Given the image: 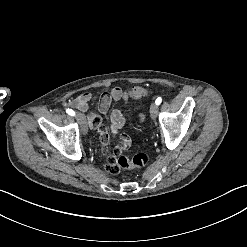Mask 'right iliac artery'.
I'll use <instances>...</instances> for the list:
<instances>
[{"instance_id":"obj_1","label":"right iliac artery","mask_w":247,"mask_h":247,"mask_svg":"<svg viewBox=\"0 0 247 247\" xmlns=\"http://www.w3.org/2000/svg\"><path fill=\"white\" fill-rule=\"evenodd\" d=\"M66 113H68L71 116H74L75 115V112L72 109H69V108L66 109Z\"/></svg>"}]
</instances>
